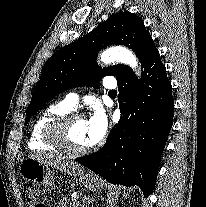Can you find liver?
<instances>
[{"label": "liver", "mask_w": 206, "mask_h": 207, "mask_svg": "<svg viewBox=\"0 0 206 207\" xmlns=\"http://www.w3.org/2000/svg\"><path fill=\"white\" fill-rule=\"evenodd\" d=\"M32 158L51 167H54L66 174L79 176L84 173V169L79 164L73 161L65 160L64 158L58 155L38 154L32 156Z\"/></svg>", "instance_id": "6515ba94"}]
</instances>
